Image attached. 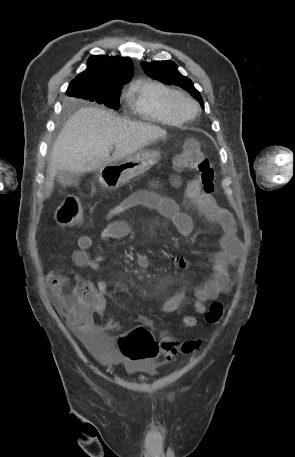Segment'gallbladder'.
Here are the masks:
<instances>
[{
  "instance_id": "gallbladder-1",
  "label": "gallbladder",
  "mask_w": 295,
  "mask_h": 457,
  "mask_svg": "<svg viewBox=\"0 0 295 457\" xmlns=\"http://www.w3.org/2000/svg\"><path fill=\"white\" fill-rule=\"evenodd\" d=\"M56 181H58L62 186H71L78 184L80 181V175L72 174L68 171H58L55 175Z\"/></svg>"
}]
</instances>
